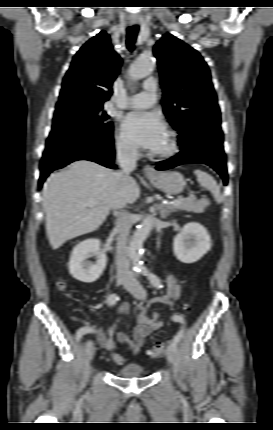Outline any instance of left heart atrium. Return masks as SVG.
Here are the masks:
<instances>
[{
  "instance_id": "obj_1",
  "label": "left heart atrium",
  "mask_w": 273,
  "mask_h": 430,
  "mask_svg": "<svg viewBox=\"0 0 273 430\" xmlns=\"http://www.w3.org/2000/svg\"><path fill=\"white\" fill-rule=\"evenodd\" d=\"M128 139L137 146L156 152L167 135L161 118L152 112H134L129 114L123 124Z\"/></svg>"
}]
</instances>
